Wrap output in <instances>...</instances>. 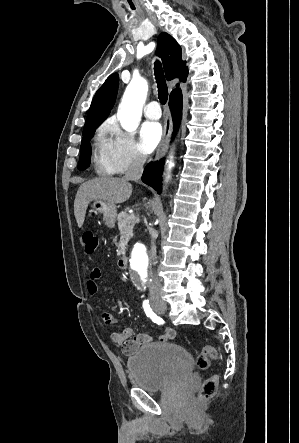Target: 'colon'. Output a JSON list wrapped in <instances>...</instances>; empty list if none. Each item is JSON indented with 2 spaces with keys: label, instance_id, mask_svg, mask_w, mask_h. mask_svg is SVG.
<instances>
[{
  "label": "colon",
  "instance_id": "5ec220e1",
  "mask_svg": "<svg viewBox=\"0 0 299 443\" xmlns=\"http://www.w3.org/2000/svg\"><path fill=\"white\" fill-rule=\"evenodd\" d=\"M82 243L86 253L93 254L98 248V237L92 229H85L81 234ZM217 358V351L211 345H205L197 357V365L201 370L210 367L212 360ZM218 386V376L212 375L207 378L201 385L197 401L204 402L211 399Z\"/></svg>",
  "mask_w": 299,
  "mask_h": 443
}]
</instances>
